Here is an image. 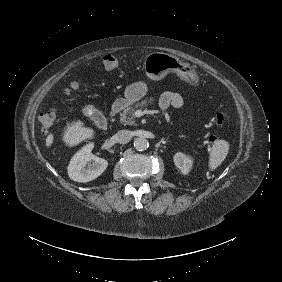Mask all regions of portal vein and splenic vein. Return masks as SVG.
Segmentation results:
<instances>
[{"mask_svg": "<svg viewBox=\"0 0 282 282\" xmlns=\"http://www.w3.org/2000/svg\"><path fill=\"white\" fill-rule=\"evenodd\" d=\"M134 116H135L136 119H138V120L140 119V120H141V119L144 118L145 115H144L143 112H141V111L139 112V111H138V112L135 113Z\"/></svg>", "mask_w": 282, "mask_h": 282, "instance_id": "18ae733b", "label": "portal vein and splenic vein"}]
</instances>
